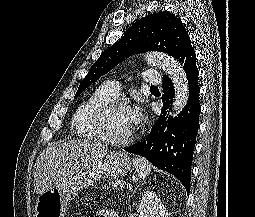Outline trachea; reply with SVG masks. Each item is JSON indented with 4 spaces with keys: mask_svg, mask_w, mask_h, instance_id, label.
I'll use <instances>...</instances> for the list:
<instances>
[{
    "mask_svg": "<svg viewBox=\"0 0 255 217\" xmlns=\"http://www.w3.org/2000/svg\"><path fill=\"white\" fill-rule=\"evenodd\" d=\"M151 88H152V89H158V87H157V86H151Z\"/></svg>",
    "mask_w": 255,
    "mask_h": 217,
    "instance_id": "trachea-1",
    "label": "trachea"
}]
</instances>
